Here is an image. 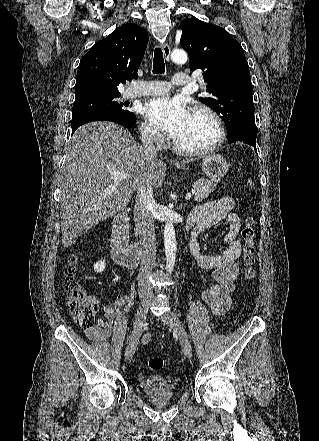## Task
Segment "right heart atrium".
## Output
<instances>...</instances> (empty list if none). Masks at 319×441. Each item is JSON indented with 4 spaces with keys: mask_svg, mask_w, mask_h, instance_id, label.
<instances>
[{
    "mask_svg": "<svg viewBox=\"0 0 319 441\" xmlns=\"http://www.w3.org/2000/svg\"><path fill=\"white\" fill-rule=\"evenodd\" d=\"M142 140L146 143L162 146L164 144V136L148 121H144L140 127Z\"/></svg>",
    "mask_w": 319,
    "mask_h": 441,
    "instance_id": "1",
    "label": "right heart atrium"
}]
</instances>
